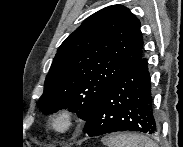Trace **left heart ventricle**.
<instances>
[{
    "mask_svg": "<svg viewBox=\"0 0 183 147\" xmlns=\"http://www.w3.org/2000/svg\"><path fill=\"white\" fill-rule=\"evenodd\" d=\"M64 125H65V124H64L63 122H60V123L58 124V127H59V128H63Z\"/></svg>",
    "mask_w": 183,
    "mask_h": 147,
    "instance_id": "obj_1",
    "label": "left heart ventricle"
}]
</instances>
